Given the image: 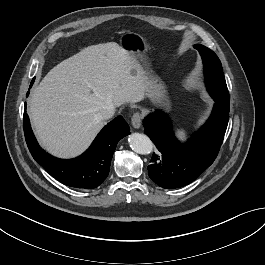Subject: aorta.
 I'll return each instance as SVG.
<instances>
[{
  "label": "aorta",
  "instance_id": "aorta-1",
  "mask_svg": "<svg viewBox=\"0 0 265 265\" xmlns=\"http://www.w3.org/2000/svg\"><path fill=\"white\" fill-rule=\"evenodd\" d=\"M128 142L131 149L138 154H150L153 150V143L150 138L141 133H132L129 135Z\"/></svg>",
  "mask_w": 265,
  "mask_h": 265
}]
</instances>
